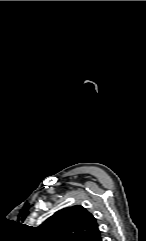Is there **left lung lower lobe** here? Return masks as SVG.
Returning a JSON list of instances; mask_svg holds the SVG:
<instances>
[{"label": "left lung lower lobe", "mask_w": 146, "mask_h": 241, "mask_svg": "<svg viewBox=\"0 0 146 241\" xmlns=\"http://www.w3.org/2000/svg\"><path fill=\"white\" fill-rule=\"evenodd\" d=\"M88 241H102L100 232H98L95 236L91 237Z\"/></svg>", "instance_id": "1"}]
</instances>
